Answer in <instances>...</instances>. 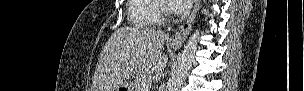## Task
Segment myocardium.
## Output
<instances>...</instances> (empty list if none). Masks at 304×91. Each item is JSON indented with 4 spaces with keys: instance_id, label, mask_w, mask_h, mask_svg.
Wrapping results in <instances>:
<instances>
[{
    "instance_id": "obj_1",
    "label": "myocardium",
    "mask_w": 304,
    "mask_h": 91,
    "mask_svg": "<svg viewBox=\"0 0 304 91\" xmlns=\"http://www.w3.org/2000/svg\"><path fill=\"white\" fill-rule=\"evenodd\" d=\"M163 5L165 6V7H168L169 5H168V2H163Z\"/></svg>"
}]
</instances>
